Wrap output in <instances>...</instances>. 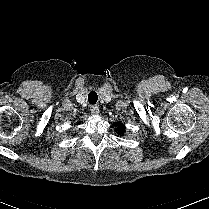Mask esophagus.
I'll return each mask as SVG.
<instances>
[{"instance_id": "esophagus-1", "label": "esophagus", "mask_w": 209, "mask_h": 209, "mask_svg": "<svg viewBox=\"0 0 209 209\" xmlns=\"http://www.w3.org/2000/svg\"><path fill=\"white\" fill-rule=\"evenodd\" d=\"M90 111H91V113L94 114V115H98L99 112H100L98 106H96V105H92V106L90 107Z\"/></svg>"}]
</instances>
